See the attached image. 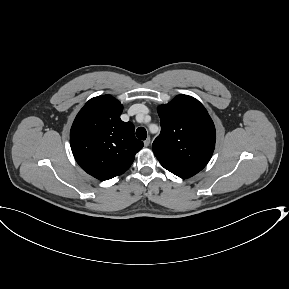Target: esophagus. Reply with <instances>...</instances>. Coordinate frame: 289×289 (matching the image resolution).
<instances>
[{
    "instance_id": "esophagus-1",
    "label": "esophagus",
    "mask_w": 289,
    "mask_h": 289,
    "mask_svg": "<svg viewBox=\"0 0 289 289\" xmlns=\"http://www.w3.org/2000/svg\"><path fill=\"white\" fill-rule=\"evenodd\" d=\"M150 141H151V140H150V137H147L146 140L144 141V146H145V147H148L149 144H150Z\"/></svg>"
}]
</instances>
